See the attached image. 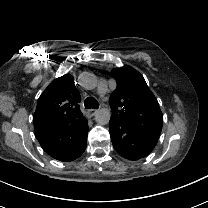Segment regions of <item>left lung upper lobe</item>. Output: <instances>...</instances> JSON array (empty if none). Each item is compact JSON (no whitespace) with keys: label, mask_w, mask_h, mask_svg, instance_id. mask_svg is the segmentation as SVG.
Listing matches in <instances>:
<instances>
[{"label":"left lung upper lobe","mask_w":208,"mask_h":208,"mask_svg":"<svg viewBox=\"0 0 208 208\" xmlns=\"http://www.w3.org/2000/svg\"><path fill=\"white\" fill-rule=\"evenodd\" d=\"M112 74L117 82L109 101L112 115L126 121L156 145L163 115L143 76L130 66L113 69Z\"/></svg>","instance_id":"left-lung-upper-lobe-1"}]
</instances>
